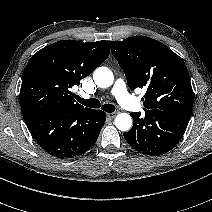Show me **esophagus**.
Here are the masks:
<instances>
[{
    "mask_svg": "<svg viewBox=\"0 0 212 212\" xmlns=\"http://www.w3.org/2000/svg\"><path fill=\"white\" fill-rule=\"evenodd\" d=\"M116 116V112L107 113L108 118H114Z\"/></svg>",
    "mask_w": 212,
    "mask_h": 212,
    "instance_id": "1",
    "label": "esophagus"
}]
</instances>
